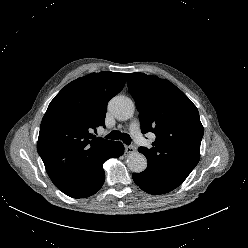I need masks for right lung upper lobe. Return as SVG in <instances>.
<instances>
[{
    "instance_id": "1",
    "label": "right lung upper lobe",
    "mask_w": 248,
    "mask_h": 248,
    "mask_svg": "<svg viewBox=\"0 0 248 248\" xmlns=\"http://www.w3.org/2000/svg\"><path fill=\"white\" fill-rule=\"evenodd\" d=\"M126 73H91L67 84L42 119L37 150L58 189L74 184L104 159L115 141L92 134L105 127L108 101L119 93Z\"/></svg>"
}]
</instances>
